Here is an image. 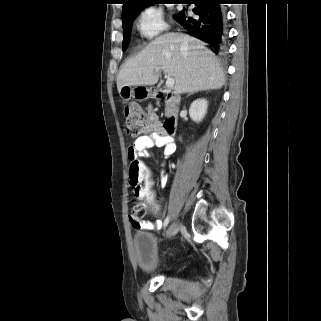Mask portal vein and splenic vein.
<instances>
[{
	"instance_id": "portal-vein-and-splenic-vein-1",
	"label": "portal vein and splenic vein",
	"mask_w": 321,
	"mask_h": 321,
	"mask_svg": "<svg viewBox=\"0 0 321 321\" xmlns=\"http://www.w3.org/2000/svg\"><path fill=\"white\" fill-rule=\"evenodd\" d=\"M160 70L159 69H156L155 72L158 73ZM174 84H175V81L173 78H167L166 80V87L167 88H173L174 87Z\"/></svg>"
}]
</instances>
